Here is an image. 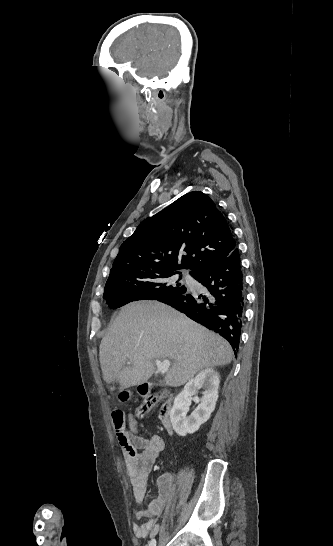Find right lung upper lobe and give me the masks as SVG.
I'll return each mask as SVG.
<instances>
[{"label": "right lung upper lobe", "instance_id": "cb5924a9", "mask_svg": "<svg viewBox=\"0 0 333 546\" xmlns=\"http://www.w3.org/2000/svg\"><path fill=\"white\" fill-rule=\"evenodd\" d=\"M234 249L236 242L224 215L210 197L194 191L142 221L121 245L111 270L190 269L193 276Z\"/></svg>", "mask_w": 333, "mask_h": 546}]
</instances>
